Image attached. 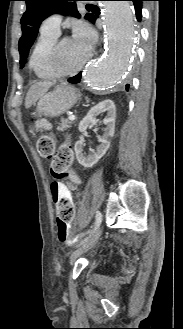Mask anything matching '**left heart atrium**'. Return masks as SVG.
<instances>
[{"instance_id":"39dd6f15","label":"left heart atrium","mask_w":183,"mask_h":329,"mask_svg":"<svg viewBox=\"0 0 183 329\" xmlns=\"http://www.w3.org/2000/svg\"><path fill=\"white\" fill-rule=\"evenodd\" d=\"M73 41L78 47L89 52L96 41V33L87 23L77 22L73 26Z\"/></svg>"}]
</instances>
